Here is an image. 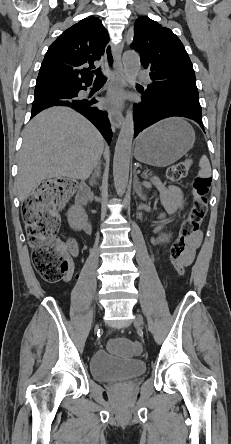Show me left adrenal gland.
Instances as JSON below:
<instances>
[{"label":"left adrenal gland","mask_w":231,"mask_h":444,"mask_svg":"<svg viewBox=\"0 0 231 444\" xmlns=\"http://www.w3.org/2000/svg\"><path fill=\"white\" fill-rule=\"evenodd\" d=\"M133 188H134L135 192L137 193V195L139 196V198L141 200L145 201L146 197H145V195L142 192V186H141V183L138 180L137 174H135V176H134Z\"/></svg>","instance_id":"left-adrenal-gland-1"}]
</instances>
